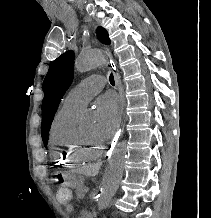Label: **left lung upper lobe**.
<instances>
[{
  "instance_id": "1",
  "label": "left lung upper lobe",
  "mask_w": 211,
  "mask_h": 218,
  "mask_svg": "<svg viewBox=\"0 0 211 218\" xmlns=\"http://www.w3.org/2000/svg\"><path fill=\"white\" fill-rule=\"evenodd\" d=\"M97 35L101 42L109 44L110 40L106 30L97 29ZM74 53L68 51L50 65L49 71L43 82L44 99L42 103L41 133L45 145L48 143V134L58 105L70 86L73 78Z\"/></svg>"
}]
</instances>
